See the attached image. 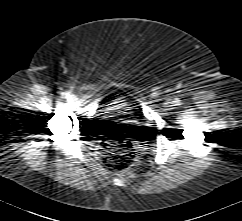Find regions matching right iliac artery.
Returning <instances> with one entry per match:
<instances>
[{
    "mask_svg": "<svg viewBox=\"0 0 242 221\" xmlns=\"http://www.w3.org/2000/svg\"><path fill=\"white\" fill-rule=\"evenodd\" d=\"M68 96H69L68 92H62L61 93L62 98H68Z\"/></svg>",
    "mask_w": 242,
    "mask_h": 221,
    "instance_id": "1",
    "label": "right iliac artery"
}]
</instances>
